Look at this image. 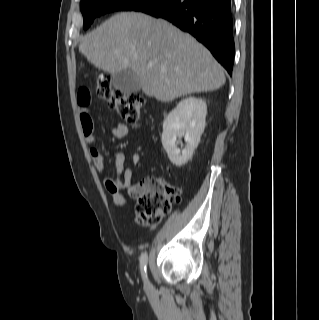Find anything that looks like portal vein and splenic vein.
<instances>
[{
  "instance_id": "18ae733b",
  "label": "portal vein and splenic vein",
  "mask_w": 319,
  "mask_h": 320,
  "mask_svg": "<svg viewBox=\"0 0 319 320\" xmlns=\"http://www.w3.org/2000/svg\"><path fill=\"white\" fill-rule=\"evenodd\" d=\"M148 66H149V67H153V66H154V63H153V62H149V63H148Z\"/></svg>"
}]
</instances>
